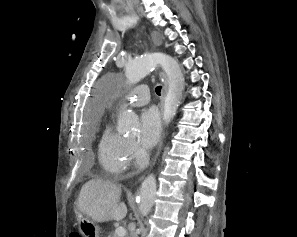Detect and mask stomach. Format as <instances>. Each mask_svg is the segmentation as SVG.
I'll use <instances>...</instances> for the list:
<instances>
[{
  "label": "stomach",
  "instance_id": "obj_1",
  "mask_svg": "<svg viewBox=\"0 0 297 237\" xmlns=\"http://www.w3.org/2000/svg\"><path fill=\"white\" fill-rule=\"evenodd\" d=\"M77 221L83 237H99L100 228L95 221L82 213H77Z\"/></svg>",
  "mask_w": 297,
  "mask_h": 237
}]
</instances>
